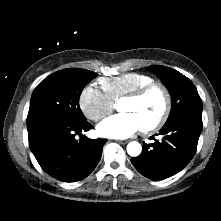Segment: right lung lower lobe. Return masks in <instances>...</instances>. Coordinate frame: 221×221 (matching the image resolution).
Listing matches in <instances>:
<instances>
[{
    "instance_id": "right-lung-lower-lobe-1",
    "label": "right lung lower lobe",
    "mask_w": 221,
    "mask_h": 221,
    "mask_svg": "<svg viewBox=\"0 0 221 221\" xmlns=\"http://www.w3.org/2000/svg\"><path fill=\"white\" fill-rule=\"evenodd\" d=\"M91 128L87 120L44 121L28 129L29 146L47 174L63 182L80 181L95 169L107 141L82 136Z\"/></svg>"
}]
</instances>
